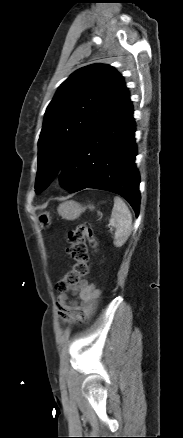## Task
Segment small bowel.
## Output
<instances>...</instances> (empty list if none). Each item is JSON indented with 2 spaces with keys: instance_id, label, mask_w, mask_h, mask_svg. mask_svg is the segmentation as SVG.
Segmentation results:
<instances>
[{
  "instance_id": "small-bowel-1",
  "label": "small bowel",
  "mask_w": 183,
  "mask_h": 438,
  "mask_svg": "<svg viewBox=\"0 0 183 438\" xmlns=\"http://www.w3.org/2000/svg\"><path fill=\"white\" fill-rule=\"evenodd\" d=\"M68 294L76 296L70 300ZM101 292L88 281L72 286L68 293L61 294L57 302L59 318L63 322L84 323L97 308Z\"/></svg>"
}]
</instances>
